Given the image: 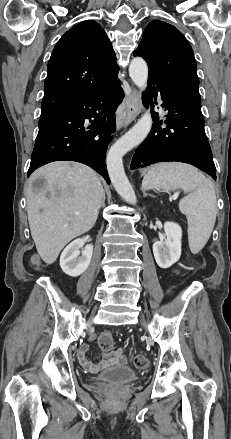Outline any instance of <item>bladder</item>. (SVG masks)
Wrapping results in <instances>:
<instances>
[{
    "label": "bladder",
    "instance_id": "1",
    "mask_svg": "<svg viewBox=\"0 0 231 439\" xmlns=\"http://www.w3.org/2000/svg\"><path fill=\"white\" fill-rule=\"evenodd\" d=\"M99 378L104 381L128 383L136 379V373L128 366L120 365L101 372Z\"/></svg>",
    "mask_w": 231,
    "mask_h": 439
}]
</instances>
